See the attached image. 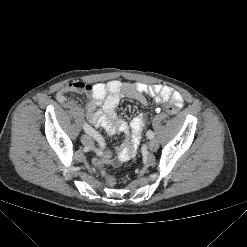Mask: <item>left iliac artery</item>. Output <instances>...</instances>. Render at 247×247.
Listing matches in <instances>:
<instances>
[{
  "label": "left iliac artery",
  "instance_id": "44dca946",
  "mask_svg": "<svg viewBox=\"0 0 247 247\" xmlns=\"http://www.w3.org/2000/svg\"><path fill=\"white\" fill-rule=\"evenodd\" d=\"M146 136L149 138V139H153L154 138V133L152 132V131H147V133H146Z\"/></svg>",
  "mask_w": 247,
  "mask_h": 247
}]
</instances>
